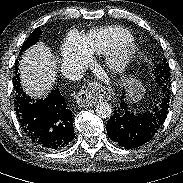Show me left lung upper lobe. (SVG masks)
Returning <instances> with one entry per match:
<instances>
[{
    "label": "left lung upper lobe",
    "instance_id": "5c2ea615",
    "mask_svg": "<svg viewBox=\"0 0 183 183\" xmlns=\"http://www.w3.org/2000/svg\"><path fill=\"white\" fill-rule=\"evenodd\" d=\"M157 76H156V81L159 83V84H164L163 81L165 79H170V69H169V66L166 62V60L164 59L163 60V63L158 65L156 70H155ZM166 84V83H165Z\"/></svg>",
    "mask_w": 183,
    "mask_h": 183
}]
</instances>
